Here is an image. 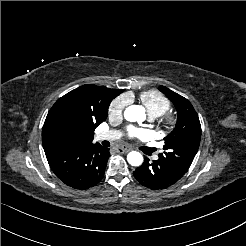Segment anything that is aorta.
Here are the masks:
<instances>
[{
	"mask_svg": "<svg viewBox=\"0 0 246 246\" xmlns=\"http://www.w3.org/2000/svg\"><path fill=\"white\" fill-rule=\"evenodd\" d=\"M124 117L130 122H141L145 119V110L142 106L131 105L124 111ZM127 161L132 166H140L143 163V156L137 151H132L127 155Z\"/></svg>",
	"mask_w": 246,
	"mask_h": 246,
	"instance_id": "aorta-1",
	"label": "aorta"
}]
</instances>
